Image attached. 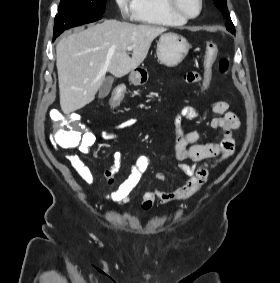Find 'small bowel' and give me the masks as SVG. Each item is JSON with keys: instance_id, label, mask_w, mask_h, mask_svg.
I'll list each match as a JSON object with an SVG mask.
<instances>
[{"instance_id": "1", "label": "small bowel", "mask_w": 280, "mask_h": 283, "mask_svg": "<svg viewBox=\"0 0 280 283\" xmlns=\"http://www.w3.org/2000/svg\"><path fill=\"white\" fill-rule=\"evenodd\" d=\"M187 79L190 82L200 84V78L193 73L188 74ZM211 111L219 115L212 119L211 127L221 132V138L215 143H198L201 133L198 131L185 132L180 121L183 118L196 119L197 113L194 109L186 107L180 112L173 115L172 119L177 125L176 141L174 144V155L179 162L178 168L184 172L188 179L185 183L175 186L172 184L168 176L163 172L156 174V179L167 184V188L147 190L142 195L140 208L148 211L154 206L165 205L173 200H184L194 195L207 182L210 168H213L229 158L235 149L234 131L239 129L240 121L238 116L228 110V104L225 102H216L212 104ZM137 122V118H129L111 131H103L101 136L104 139H113L118 131L128 128ZM96 143V135L92 132H81V140L78 145V151L81 154H88L90 148ZM115 162L104 171L103 176L108 184H114V175L119 171L120 153L114 155ZM186 160H191L195 165H188ZM68 161L71 167L79 175V177L87 184L94 183V175L90 168L78 155H69ZM150 164V158L147 155H139L134 164L131 166L128 177L110 194L107 199L126 205L131 200V193L135 186L139 183L143 173Z\"/></svg>"}]
</instances>
